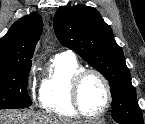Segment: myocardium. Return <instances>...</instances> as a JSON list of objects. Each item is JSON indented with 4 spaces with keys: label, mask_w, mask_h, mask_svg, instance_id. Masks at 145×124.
Here are the masks:
<instances>
[{
    "label": "myocardium",
    "mask_w": 145,
    "mask_h": 124,
    "mask_svg": "<svg viewBox=\"0 0 145 124\" xmlns=\"http://www.w3.org/2000/svg\"><path fill=\"white\" fill-rule=\"evenodd\" d=\"M89 76H95L102 82L106 91V96H107L104 107L102 108L100 112L95 113V114H89L85 112L83 110L82 103H81V88L84 81ZM71 98H72L73 106L80 116L87 119H98L104 116L106 112L108 111L113 100V95H112V90H111V86L108 79L100 71L96 69H82L78 73H76L72 79Z\"/></svg>",
    "instance_id": "1"
}]
</instances>
